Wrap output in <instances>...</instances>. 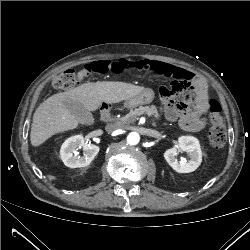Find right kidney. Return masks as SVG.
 Here are the masks:
<instances>
[{
	"instance_id": "right-kidney-1",
	"label": "right kidney",
	"mask_w": 250,
	"mask_h": 250,
	"mask_svg": "<svg viewBox=\"0 0 250 250\" xmlns=\"http://www.w3.org/2000/svg\"><path fill=\"white\" fill-rule=\"evenodd\" d=\"M81 147L85 151L83 155L77 152ZM98 152V146L85 142L82 135H75L65 140L61 146L60 155L67 167L78 168L88 166Z\"/></svg>"
}]
</instances>
